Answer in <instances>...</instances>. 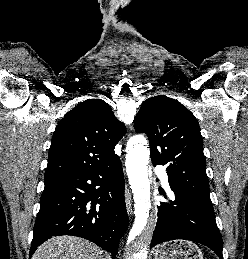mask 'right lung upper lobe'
Masks as SVG:
<instances>
[{"label":"right lung upper lobe","mask_w":248,"mask_h":259,"mask_svg":"<svg viewBox=\"0 0 248 259\" xmlns=\"http://www.w3.org/2000/svg\"><path fill=\"white\" fill-rule=\"evenodd\" d=\"M110 106L88 99L65 114L51 141L44 180L103 166L125 133Z\"/></svg>","instance_id":"obj_1"}]
</instances>
